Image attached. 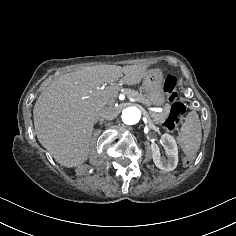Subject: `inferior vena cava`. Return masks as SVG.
Here are the masks:
<instances>
[{"label": "inferior vena cava", "mask_w": 236, "mask_h": 236, "mask_svg": "<svg viewBox=\"0 0 236 236\" xmlns=\"http://www.w3.org/2000/svg\"><path fill=\"white\" fill-rule=\"evenodd\" d=\"M93 114H94L95 118H97V119L100 118V116H101L100 113H99V111H97V110L94 111Z\"/></svg>", "instance_id": "602c4592"}]
</instances>
